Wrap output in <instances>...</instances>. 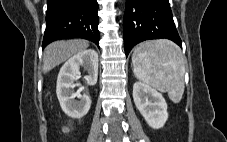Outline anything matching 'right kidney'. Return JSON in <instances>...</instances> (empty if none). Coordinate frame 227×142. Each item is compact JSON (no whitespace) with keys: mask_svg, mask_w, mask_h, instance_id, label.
Returning <instances> with one entry per match:
<instances>
[{"mask_svg":"<svg viewBox=\"0 0 227 142\" xmlns=\"http://www.w3.org/2000/svg\"><path fill=\"white\" fill-rule=\"evenodd\" d=\"M87 70L85 80L93 86L98 78V54L93 49L84 50L71 57L61 67L57 78L56 93L62 110L69 117L80 119L85 116L91 106V99L87 94L81 95L74 91V82L80 76V67ZM78 97L79 100H75Z\"/></svg>","mask_w":227,"mask_h":142,"instance_id":"1","label":"right kidney"}]
</instances>
